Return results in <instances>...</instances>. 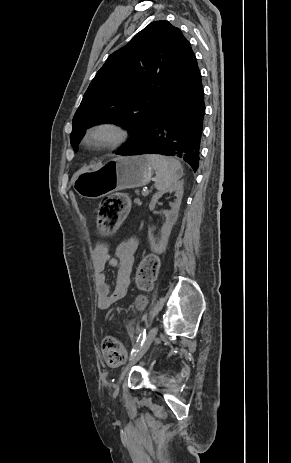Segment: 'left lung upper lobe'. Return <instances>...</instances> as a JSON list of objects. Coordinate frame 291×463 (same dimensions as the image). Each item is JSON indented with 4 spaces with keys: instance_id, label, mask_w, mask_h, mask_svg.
Wrapping results in <instances>:
<instances>
[{
    "instance_id": "5c2ea615",
    "label": "left lung upper lobe",
    "mask_w": 291,
    "mask_h": 463,
    "mask_svg": "<svg viewBox=\"0 0 291 463\" xmlns=\"http://www.w3.org/2000/svg\"><path fill=\"white\" fill-rule=\"evenodd\" d=\"M199 70L182 32L167 21H155L112 53L84 94L73 117L74 151L85 129L114 123L130 138L116 154L130 150L158 117L171 95Z\"/></svg>"
}]
</instances>
